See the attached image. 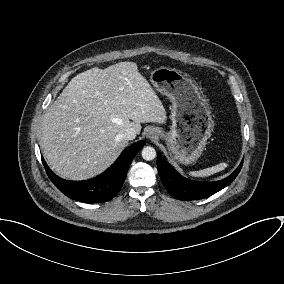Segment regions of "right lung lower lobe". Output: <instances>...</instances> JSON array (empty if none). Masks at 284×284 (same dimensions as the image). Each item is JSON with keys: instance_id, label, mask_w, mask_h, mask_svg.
I'll list each match as a JSON object with an SVG mask.
<instances>
[{"instance_id": "98d812e1", "label": "right lung lower lobe", "mask_w": 284, "mask_h": 284, "mask_svg": "<svg viewBox=\"0 0 284 284\" xmlns=\"http://www.w3.org/2000/svg\"><path fill=\"white\" fill-rule=\"evenodd\" d=\"M144 145L140 141L127 147L106 171L86 181L64 180L50 170L43 157L42 162L52 183L69 198L85 203L106 202L120 191L130 163Z\"/></svg>"}]
</instances>
